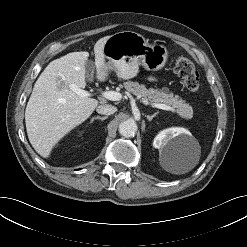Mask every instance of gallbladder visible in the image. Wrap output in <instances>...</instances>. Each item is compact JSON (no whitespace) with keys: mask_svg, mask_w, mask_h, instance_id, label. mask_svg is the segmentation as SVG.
Wrapping results in <instances>:
<instances>
[{"mask_svg":"<svg viewBox=\"0 0 247 247\" xmlns=\"http://www.w3.org/2000/svg\"><path fill=\"white\" fill-rule=\"evenodd\" d=\"M85 68L87 72H90L93 69V63L91 61H86Z\"/></svg>","mask_w":247,"mask_h":247,"instance_id":"bac80fb5","label":"gallbladder"}]
</instances>
